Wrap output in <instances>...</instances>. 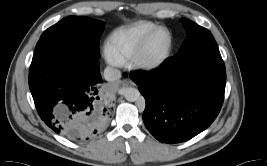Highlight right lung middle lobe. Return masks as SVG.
Listing matches in <instances>:
<instances>
[{
	"label": "right lung middle lobe",
	"mask_w": 267,
	"mask_h": 166,
	"mask_svg": "<svg viewBox=\"0 0 267 166\" xmlns=\"http://www.w3.org/2000/svg\"><path fill=\"white\" fill-rule=\"evenodd\" d=\"M104 25V22L88 17L69 16L45 30L40 38L48 36L64 38L99 57V41Z\"/></svg>",
	"instance_id": "right-lung-middle-lobe-1"
}]
</instances>
